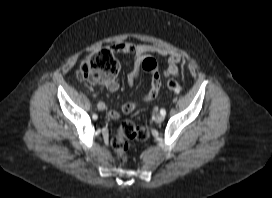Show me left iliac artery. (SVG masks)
<instances>
[{
  "instance_id": "left-iliac-artery-1",
  "label": "left iliac artery",
  "mask_w": 272,
  "mask_h": 198,
  "mask_svg": "<svg viewBox=\"0 0 272 198\" xmlns=\"http://www.w3.org/2000/svg\"><path fill=\"white\" fill-rule=\"evenodd\" d=\"M160 113H161L162 115H164V116L166 115V111H165L164 109H161V110H160Z\"/></svg>"
}]
</instances>
